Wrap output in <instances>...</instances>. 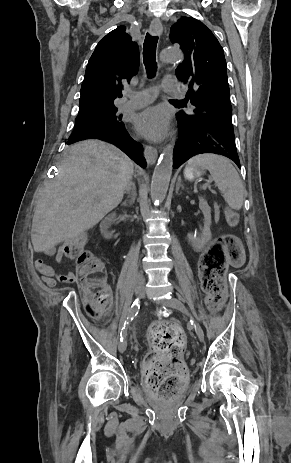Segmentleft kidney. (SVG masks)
<instances>
[{
    "label": "left kidney",
    "mask_w": 291,
    "mask_h": 463,
    "mask_svg": "<svg viewBox=\"0 0 291 463\" xmlns=\"http://www.w3.org/2000/svg\"><path fill=\"white\" fill-rule=\"evenodd\" d=\"M199 208L204 215V227L202 229V233L199 236L193 235L191 233L187 234L188 241L191 243L193 249L196 252H200L202 249H204L205 245L210 242L212 237L210 230L211 208L203 197H199Z\"/></svg>",
    "instance_id": "obj_1"
}]
</instances>
